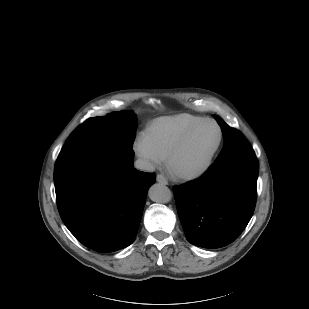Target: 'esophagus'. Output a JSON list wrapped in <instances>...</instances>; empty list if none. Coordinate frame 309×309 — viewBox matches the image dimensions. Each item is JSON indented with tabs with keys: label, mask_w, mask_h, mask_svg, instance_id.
<instances>
[{
	"label": "esophagus",
	"mask_w": 309,
	"mask_h": 309,
	"mask_svg": "<svg viewBox=\"0 0 309 309\" xmlns=\"http://www.w3.org/2000/svg\"><path fill=\"white\" fill-rule=\"evenodd\" d=\"M156 181L161 183V184L168 185L167 179L163 175H161V174H158L156 176Z\"/></svg>",
	"instance_id": "1"
}]
</instances>
